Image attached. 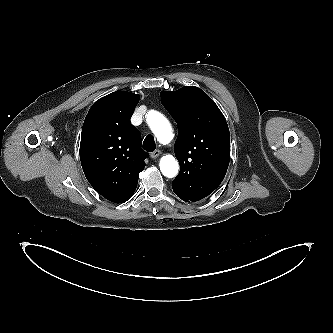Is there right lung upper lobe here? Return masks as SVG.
Masks as SVG:
<instances>
[{
	"label": "right lung upper lobe",
	"instance_id": "right-lung-upper-lobe-1",
	"mask_svg": "<svg viewBox=\"0 0 333 333\" xmlns=\"http://www.w3.org/2000/svg\"><path fill=\"white\" fill-rule=\"evenodd\" d=\"M139 99L137 94L115 91L92 105L83 124L80 160L84 174L99 194L114 203L133 195L148 157L130 122Z\"/></svg>",
	"mask_w": 333,
	"mask_h": 333
}]
</instances>
